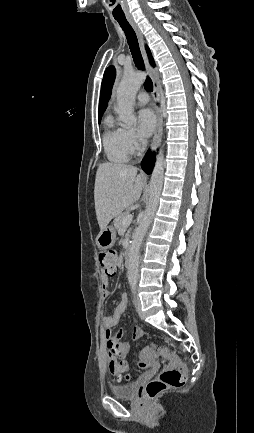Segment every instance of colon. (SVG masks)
<instances>
[{
    "label": "colon",
    "instance_id": "colon-1",
    "mask_svg": "<svg viewBox=\"0 0 254 433\" xmlns=\"http://www.w3.org/2000/svg\"><path fill=\"white\" fill-rule=\"evenodd\" d=\"M99 262L107 276L116 274V252L113 250L103 251L99 254ZM143 333V332H142ZM153 362V355L149 351H144L140 355L139 365L147 367ZM186 368L182 363L173 364L164 369L160 375L150 381L144 391L145 394L154 398L168 389L180 388L185 382Z\"/></svg>",
    "mask_w": 254,
    "mask_h": 433
}]
</instances>
